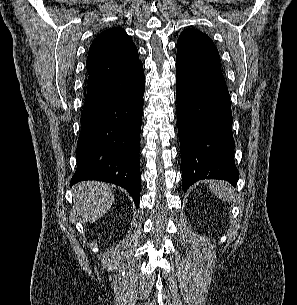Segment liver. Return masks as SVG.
I'll use <instances>...</instances> for the list:
<instances>
[{
	"label": "liver",
	"instance_id": "1",
	"mask_svg": "<svg viewBox=\"0 0 297 305\" xmlns=\"http://www.w3.org/2000/svg\"><path fill=\"white\" fill-rule=\"evenodd\" d=\"M73 202L77 214L85 222H95L111 208L114 195L108 184L85 181L75 186Z\"/></svg>",
	"mask_w": 297,
	"mask_h": 305
}]
</instances>
